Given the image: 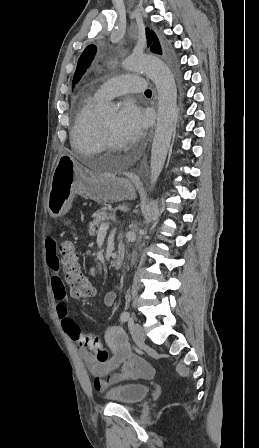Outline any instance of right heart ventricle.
<instances>
[{"label": "right heart ventricle", "mask_w": 259, "mask_h": 448, "mask_svg": "<svg viewBox=\"0 0 259 448\" xmlns=\"http://www.w3.org/2000/svg\"><path fill=\"white\" fill-rule=\"evenodd\" d=\"M102 101L97 92H90L86 94V99L82 105L77 107L71 130V139L74 148L79 152L89 154L103 150L98 126L100 119L94 113L95 107Z\"/></svg>", "instance_id": "1"}]
</instances>
